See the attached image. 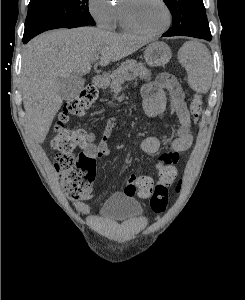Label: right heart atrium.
Listing matches in <instances>:
<instances>
[{
  "instance_id": "1",
  "label": "right heart atrium",
  "mask_w": 245,
  "mask_h": 300,
  "mask_svg": "<svg viewBox=\"0 0 245 300\" xmlns=\"http://www.w3.org/2000/svg\"><path fill=\"white\" fill-rule=\"evenodd\" d=\"M88 10L98 26L113 29L117 19V7L112 0H88Z\"/></svg>"
}]
</instances>
